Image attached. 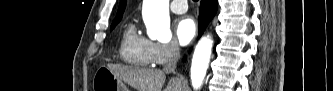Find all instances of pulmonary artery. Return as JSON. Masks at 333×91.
Masks as SVG:
<instances>
[{
  "instance_id": "obj_1",
  "label": "pulmonary artery",
  "mask_w": 333,
  "mask_h": 91,
  "mask_svg": "<svg viewBox=\"0 0 333 91\" xmlns=\"http://www.w3.org/2000/svg\"><path fill=\"white\" fill-rule=\"evenodd\" d=\"M187 9L188 5L186 0H174L171 2V10L175 14H183Z\"/></svg>"
}]
</instances>
